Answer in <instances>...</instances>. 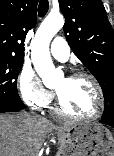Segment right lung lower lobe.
I'll return each instance as SVG.
<instances>
[{"instance_id": "1", "label": "right lung lower lobe", "mask_w": 114, "mask_h": 156, "mask_svg": "<svg viewBox=\"0 0 114 156\" xmlns=\"http://www.w3.org/2000/svg\"><path fill=\"white\" fill-rule=\"evenodd\" d=\"M23 107H24V105H22V106H15V105H10V104H0V113L19 111Z\"/></svg>"}]
</instances>
